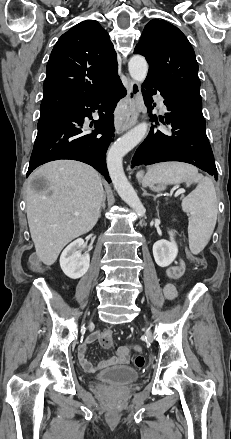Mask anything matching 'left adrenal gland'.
<instances>
[{
  "instance_id": "obj_1",
  "label": "left adrenal gland",
  "mask_w": 231,
  "mask_h": 439,
  "mask_svg": "<svg viewBox=\"0 0 231 439\" xmlns=\"http://www.w3.org/2000/svg\"><path fill=\"white\" fill-rule=\"evenodd\" d=\"M143 195H144V196H147V195H149V194H147L146 191H144Z\"/></svg>"
}]
</instances>
